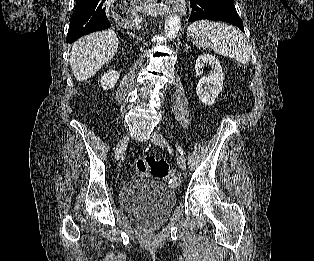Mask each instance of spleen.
<instances>
[{
  "mask_svg": "<svg viewBox=\"0 0 314 261\" xmlns=\"http://www.w3.org/2000/svg\"><path fill=\"white\" fill-rule=\"evenodd\" d=\"M187 35L195 40L199 49H212L241 64L250 62L251 49L248 41L241 31L231 25L200 20L188 27Z\"/></svg>",
  "mask_w": 314,
  "mask_h": 261,
  "instance_id": "1",
  "label": "spleen"
}]
</instances>
